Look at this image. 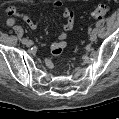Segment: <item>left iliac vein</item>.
Returning <instances> with one entry per match:
<instances>
[{
  "label": "left iliac vein",
  "mask_w": 119,
  "mask_h": 119,
  "mask_svg": "<svg viewBox=\"0 0 119 119\" xmlns=\"http://www.w3.org/2000/svg\"><path fill=\"white\" fill-rule=\"evenodd\" d=\"M89 39H90V41H92V42L96 41V39H97L96 33H91Z\"/></svg>",
  "instance_id": "obj_1"
}]
</instances>
